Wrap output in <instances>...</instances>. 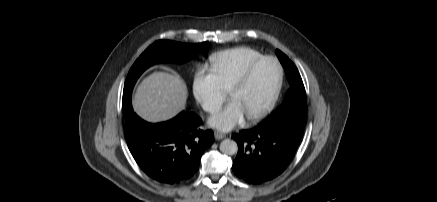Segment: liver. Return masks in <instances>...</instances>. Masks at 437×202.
I'll return each mask as SVG.
<instances>
[{"instance_id": "obj_1", "label": "liver", "mask_w": 437, "mask_h": 202, "mask_svg": "<svg viewBox=\"0 0 437 202\" xmlns=\"http://www.w3.org/2000/svg\"><path fill=\"white\" fill-rule=\"evenodd\" d=\"M187 87L178 75L155 72L137 87L132 100L134 111L152 123L166 121L184 109Z\"/></svg>"}]
</instances>
